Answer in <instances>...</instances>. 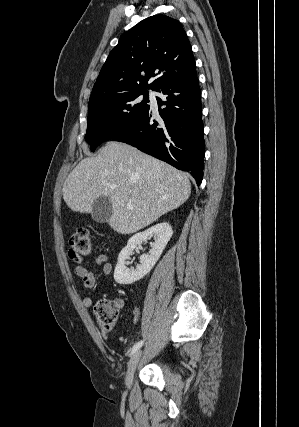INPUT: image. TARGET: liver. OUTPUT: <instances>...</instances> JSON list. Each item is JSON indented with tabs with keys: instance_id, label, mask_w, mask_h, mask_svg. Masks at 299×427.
<instances>
[{
	"instance_id": "obj_1",
	"label": "liver",
	"mask_w": 299,
	"mask_h": 427,
	"mask_svg": "<svg viewBox=\"0 0 299 427\" xmlns=\"http://www.w3.org/2000/svg\"><path fill=\"white\" fill-rule=\"evenodd\" d=\"M190 193L186 174L121 142H109L96 157L83 159L62 189L64 201L74 212L92 213L94 201L108 197L112 203L108 223L121 234L150 225L181 206ZM127 203L133 208H127Z\"/></svg>"
}]
</instances>
